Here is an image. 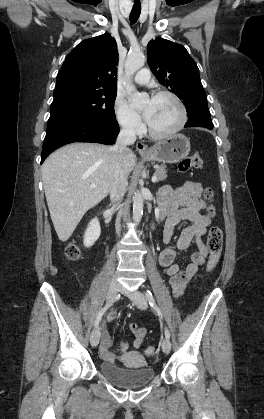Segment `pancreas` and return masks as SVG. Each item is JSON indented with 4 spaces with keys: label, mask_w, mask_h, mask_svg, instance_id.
<instances>
[{
    "label": "pancreas",
    "mask_w": 264,
    "mask_h": 419,
    "mask_svg": "<svg viewBox=\"0 0 264 419\" xmlns=\"http://www.w3.org/2000/svg\"><path fill=\"white\" fill-rule=\"evenodd\" d=\"M167 170H166V166L165 165H161L159 167H157L155 175L157 177V180H165L167 178Z\"/></svg>",
    "instance_id": "cf45deb5"
}]
</instances>
